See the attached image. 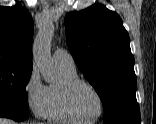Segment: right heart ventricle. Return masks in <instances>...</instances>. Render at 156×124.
Masks as SVG:
<instances>
[{
  "label": "right heart ventricle",
  "mask_w": 156,
  "mask_h": 124,
  "mask_svg": "<svg viewBox=\"0 0 156 124\" xmlns=\"http://www.w3.org/2000/svg\"><path fill=\"white\" fill-rule=\"evenodd\" d=\"M62 73V82L65 80H71L78 78L76 69H69L59 66ZM51 84L48 86V96H49V111L48 118L56 123H74L62 106L60 85L61 83Z\"/></svg>",
  "instance_id": "obj_1"
}]
</instances>
